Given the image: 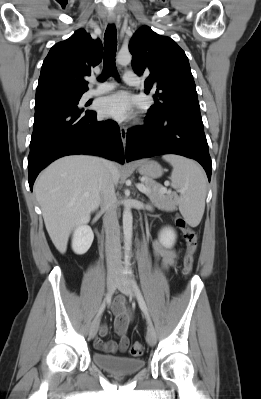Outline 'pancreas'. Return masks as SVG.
I'll return each mask as SVG.
<instances>
[{"mask_svg":"<svg viewBox=\"0 0 261 399\" xmlns=\"http://www.w3.org/2000/svg\"><path fill=\"white\" fill-rule=\"evenodd\" d=\"M144 184L149 189L146 195L150 198L152 202L156 204V206L165 207L176 205V196L174 194L164 192L162 190V185L155 182L153 179L145 178Z\"/></svg>","mask_w":261,"mask_h":399,"instance_id":"cf45deb5","label":"pancreas"}]
</instances>
